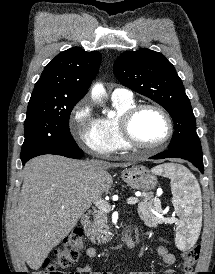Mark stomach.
<instances>
[{
	"label": "stomach",
	"instance_id": "stomach-1",
	"mask_svg": "<svg viewBox=\"0 0 215 274\" xmlns=\"http://www.w3.org/2000/svg\"><path fill=\"white\" fill-rule=\"evenodd\" d=\"M122 179L127 185L140 191L153 190L158 183L156 176L143 165H134L124 170Z\"/></svg>",
	"mask_w": 215,
	"mask_h": 274
}]
</instances>
